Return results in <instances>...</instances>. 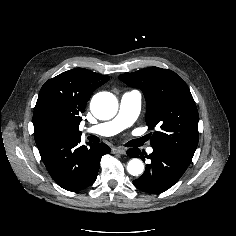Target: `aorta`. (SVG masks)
Here are the masks:
<instances>
[{"mask_svg": "<svg viewBox=\"0 0 236 236\" xmlns=\"http://www.w3.org/2000/svg\"><path fill=\"white\" fill-rule=\"evenodd\" d=\"M118 110L117 98L109 92H100L91 100V111L100 120L114 117ZM127 171L133 176H138L144 171V164L140 159L134 158L128 162Z\"/></svg>", "mask_w": 236, "mask_h": 236, "instance_id": "762f6f07", "label": "aorta"}]
</instances>
